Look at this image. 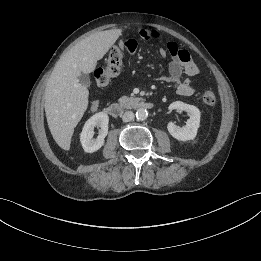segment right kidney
Masks as SVG:
<instances>
[{
	"instance_id": "right-kidney-1",
	"label": "right kidney",
	"mask_w": 261,
	"mask_h": 261,
	"mask_svg": "<svg viewBox=\"0 0 261 261\" xmlns=\"http://www.w3.org/2000/svg\"><path fill=\"white\" fill-rule=\"evenodd\" d=\"M109 116L104 112H98L90 117L80 134V141L85 152L93 153L104 145V139L108 134ZM100 127L99 135L93 139L94 128Z\"/></svg>"
}]
</instances>
